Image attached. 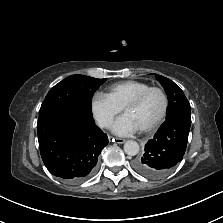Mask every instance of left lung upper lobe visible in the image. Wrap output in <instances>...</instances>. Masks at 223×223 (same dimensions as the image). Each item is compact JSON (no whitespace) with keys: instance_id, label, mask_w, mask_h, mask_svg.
I'll use <instances>...</instances> for the list:
<instances>
[{"instance_id":"5c2ea615","label":"left lung upper lobe","mask_w":223,"mask_h":223,"mask_svg":"<svg viewBox=\"0 0 223 223\" xmlns=\"http://www.w3.org/2000/svg\"><path fill=\"white\" fill-rule=\"evenodd\" d=\"M157 80L164 87L168 97L166 119L173 116H183L191 119V107L183 91L170 79L156 75Z\"/></svg>"}]
</instances>
